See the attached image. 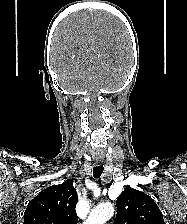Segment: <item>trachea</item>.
Masks as SVG:
<instances>
[{
	"label": "trachea",
	"mask_w": 187,
	"mask_h": 224,
	"mask_svg": "<svg viewBox=\"0 0 187 224\" xmlns=\"http://www.w3.org/2000/svg\"><path fill=\"white\" fill-rule=\"evenodd\" d=\"M103 165H99V166H95L94 168H93V176L95 177V178H100V176L102 175V173H103Z\"/></svg>",
	"instance_id": "3493384b"
}]
</instances>
